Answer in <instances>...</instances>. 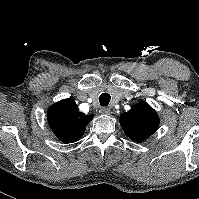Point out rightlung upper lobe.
<instances>
[{"label":"right lung upper lobe","instance_id":"1","mask_svg":"<svg viewBox=\"0 0 199 199\" xmlns=\"http://www.w3.org/2000/svg\"><path fill=\"white\" fill-rule=\"evenodd\" d=\"M48 123L58 139L64 143L78 141L93 115L80 112L73 98L61 100L48 109Z\"/></svg>","mask_w":199,"mask_h":199}]
</instances>
